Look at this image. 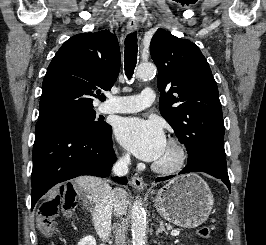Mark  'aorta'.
Instances as JSON below:
<instances>
[{"label":"aorta","mask_w":266,"mask_h":245,"mask_svg":"<svg viewBox=\"0 0 266 245\" xmlns=\"http://www.w3.org/2000/svg\"><path fill=\"white\" fill-rule=\"evenodd\" d=\"M156 74V66L154 64H139L136 72L137 78H152ZM131 231L133 245H146V213L141 207L139 201L133 203L131 209Z\"/></svg>","instance_id":"1"}]
</instances>
